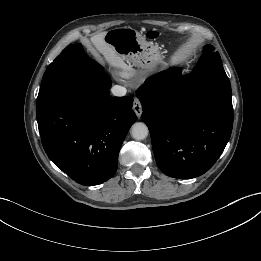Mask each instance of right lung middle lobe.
<instances>
[{
  "instance_id": "obj_1",
  "label": "right lung middle lobe",
  "mask_w": 261,
  "mask_h": 261,
  "mask_svg": "<svg viewBox=\"0 0 261 261\" xmlns=\"http://www.w3.org/2000/svg\"><path fill=\"white\" fill-rule=\"evenodd\" d=\"M99 72H103L102 66L87 57L81 44L69 45L46 69L36 108L70 82Z\"/></svg>"
}]
</instances>
